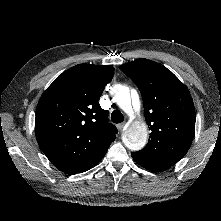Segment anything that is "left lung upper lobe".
<instances>
[{"instance_id": "obj_1", "label": "left lung upper lobe", "mask_w": 221, "mask_h": 221, "mask_svg": "<svg viewBox=\"0 0 221 221\" xmlns=\"http://www.w3.org/2000/svg\"><path fill=\"white\" fill-rule=\"evenodd\" d=\"M138 87L151 130L145 148L135 154L173 166L189 150L195 130V108L189 91L166 67L148 59L123 64Z\"/></svg>"}]
</instances>
